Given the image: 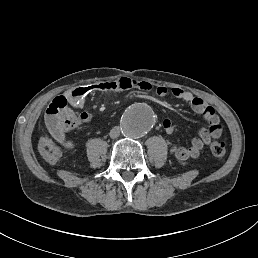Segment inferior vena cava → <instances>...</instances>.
<instances>
[{"mask_svg":"<svg viewBox=\"0 0 258 258\" xmlns=\"http://www.w3.org/2000/svg\"><path fill=\"white\" fill-rule=\"evenodd\" d=\"M121 128L119 126H115L110 131L111 138H117L120 135Z\"/></svg>","mask_w":258,"mask_h":258,"instance_id":"602c4592","label":"inferior vena cava"}]
</instances>
